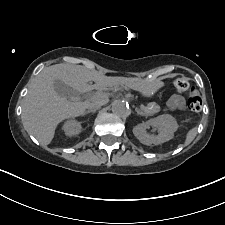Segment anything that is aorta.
I'll use <instances>...</instances> for the list:
<instances>
[{
	"mask_svg": "<svg viewBox=\"0 0 225 225\" xmlns=\"http://www.w3.org/2000/svg\"><path fill=\"white\" fill-rule=\"evenodd\" d=\"M112 112L114 115L118 117H127L129 115V107L128 105L122 100H114L112 102Z\"/></svg>",
	"mask_w": 225,
	"mask_h": 225,
	"instance_id": "1",
	"label": "aorta"
}]
</instances>
